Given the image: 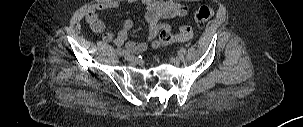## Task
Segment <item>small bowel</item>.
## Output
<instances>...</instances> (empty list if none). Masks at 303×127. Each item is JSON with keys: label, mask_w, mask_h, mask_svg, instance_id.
Wrapping results in <instances>:
<instances>
[{"label": "small bowel", "mask_w": 303, "mask_h": 127, "mask_svg": "<svg viewBox=\"0 0 303 127\" xmlns=\"http://www.w3.org/2000/svg\"><path fill=\"white\" fill-rule=\"evenodd\" d=\"M137 1H140L146 8L145 18L149 26V41L154 39L162 30H170L167 23L161 22L162 19L183 17L188 13V8L184 4L174 0H99L87 9L86 21L95 32L102 34V39L105 42H113L117 48L125 46L127 51L131 53H141L148 48V43L128 41L129 32L133 27L131 19L124 20L118 34L114 35L106 28L99 16L101 11L118 8L124 2Z\"/></svg>", "instance_id": "1"}]
</instances>
